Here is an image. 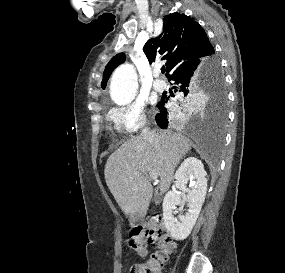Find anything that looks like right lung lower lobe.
Here are the masks:
<instances>
[{
  "mask_svg": "<svg viewBox=\"0 0 285 273\" xmlns=\"http://www.w3.org/2000/svg\"><path fill=\"white\" fill-rule=\"evenodd\" d=\"M210 62L211 57L203 58L173 73L168 80L174 81L176 85L175 92L187 96L194 88L203 83ZM167 101L168 98L162 97L161 101L157 104L160 113L156 115V122L161 128H167L173 124L176 118L183 117L192 106V103L186 105L179 104L175 110L169 111L165 108Z\"/></svg>",
  "mask_w": 285,
  "mask_h": 273,
  "instance_id": "right-lung-lower-lobe-1",
  "label": "right lung lower lobe"
}]
</instances>
